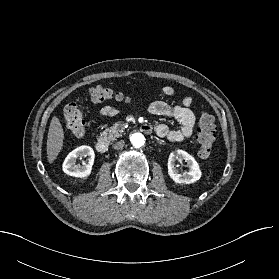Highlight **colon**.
Here are the masks:
<instances>
[{
    "mask_svg": "<svg viewBox=\"0 0 279 279\" xmlns=\"http://www.w3.org/2000/svg\"><path fill=\"white\" fill-rule=\"evenodd\" d=\"M89 98L93 103H100L106 100L127 101L123 93L117 92L107 86L98 85L92 87L89 91ZM66 127L77 137L85 134V119L80 107L75 103H69L63 110ZM215 140V125L213 118L207 114L200 115L197 128V141L199 143V155L202 158H208L213 150Z\"/></svg>",
    "mask_w": 279,
    "mask_h": 279,
    "instance_id": "obj_1",
    "label": "colon"
}]
</instances>
